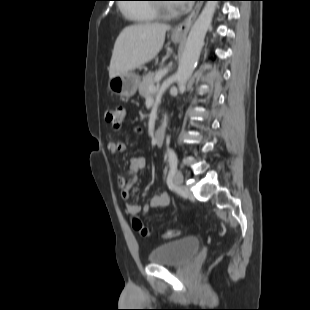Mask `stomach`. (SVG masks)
<instances>
[{"label": "stomach", "mask_w": 310, "mask_h": 310, "mask_svg": "<svg viewBox=\"0 0 310 310\" xmlns=\"http://www.w3.org/2000/svg\"><path fill=\"white\" fill-rule=\"evenodd\" d=\"M181 37L172 36L174 42H180ZM139 77L132 71H128L124 74L116 75L109 79V90L122 97H132L138 88Z\"/></svg>", "instance_id": "stomach-1"}]
</instances>
